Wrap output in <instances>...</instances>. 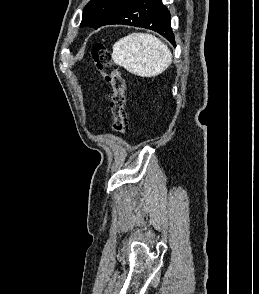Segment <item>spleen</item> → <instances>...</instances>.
<instances>
[{
  "label": "spleen",
  "instance_id": "spleen-1",
  "mask_svg": "<svg viewBox=\"0 0 259 294\" xmlns=\"http://www.w3.org/2000/svg\"><path fill=\"white\" fill-rule=\"evenodd\" d=\"M113 61L140 77H153L172 63V54L160 39L147 33H132L113 45Z\"/></svg>",
  "mask_w": 259,
  "mask_h": 294
}]
</instances>
